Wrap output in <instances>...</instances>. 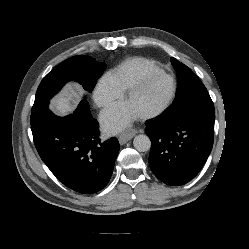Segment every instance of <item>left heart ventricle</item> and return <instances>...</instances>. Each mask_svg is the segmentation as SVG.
Listing matches in <instances>:
<instances>
[{"label":"left heart ventricle","instance_id":"b2bd125f","mask_svg":"<svg viewBox=\"0 0 249 249\" xmlns=\"http://www.w3.org/2000/svg\"><path fill=\"white\" fill-rule=\"evenodd\" d=\"M171 81L159 78L150 82L133 97L126 100V105L137 115H142L160 107L170 95Z\"/></svg>","mask_w":249,"mask_h":249}]
</instances>
